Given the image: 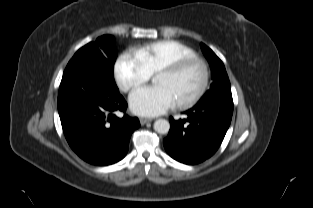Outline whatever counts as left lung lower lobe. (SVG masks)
Returning <instances> with one entry per match:
<instances>
[{"mask_svg": "<svg viewBox=\"0 0 313 208\" xmlns=\"http://www.w3.org/2000/svg\"><path fill=\"white\" fill-rule=\"evenodd\" d=\"M187 119L170 117V130L163 144L175 160L194 165L211 157L230 126L233 100L214 97L199 101L185 112Z\"/></svg>", "mask_w": 313, "mask_h": 208, "instance_id": "1", "label": "left lung lower lobe"}]
</instances>
